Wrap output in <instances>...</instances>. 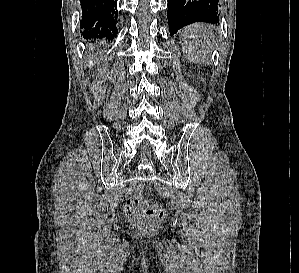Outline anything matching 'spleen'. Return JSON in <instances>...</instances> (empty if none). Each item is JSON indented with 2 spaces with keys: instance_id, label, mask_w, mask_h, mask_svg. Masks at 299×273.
Returning <instances> with one entry per match:
<instances>
[{
  "instance_id": "1",
  "label": "spleen",
  "mask_w": 299,
  "mask_h": 273,
  "mask_svg": "<svg viewBox=\"0 0 299 273\" xmlns=\"http://www.w3.org/2000/svg\"><path fill=\"white\" fill-rule=\"evenodd\" d=\"M212 26L195 23L179 32L183 54L193 63H204L211 57L213 45Z\"/></svg>"
}]
</instances>
